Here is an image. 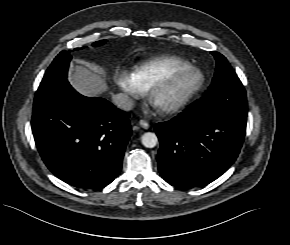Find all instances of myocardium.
Here are the masks:
<instances>
[{"label":"myocardium","mask_w":290,"mask_h":245,"mask_svg":"<svg viewBox=\"0 0 290 245\" xmlns=\"http://www.w3.org/2000/svg\"><path fill=\"white\" fill-rule=\"evenodd\" d=\"M187 74L195 75L196 79L192 87L180 99L175 101L173 104L160 108L156 104V99L158 97V94L162 90H164L165 88L173 84L177 79ZM204 83H205V76L203 72L198 67L190 65L185 68L169 72L165 74L163 77H161L160 79L156 80L149 88V98L155 105H157L160 108L163 114H166V115L174 114L184 109L194 99V97L203 88Z\"/></svg>","instance_id":"1"}]
</instances>
